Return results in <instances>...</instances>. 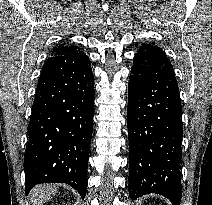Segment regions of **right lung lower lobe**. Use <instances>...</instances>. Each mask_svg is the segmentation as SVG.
Instances as JSON below:
<instances>
[{
	"instance_id": "obj_1",
	"label": "right lung lower lobe",
	"mask_w": 212,
	"mask_h": 205,
	"mask_svg": "<svg viewBox=\"0 0 212 205\" xmlns=\"http://www.w3.org/2000/svg\"><path fill=\"white\" fill-rule=\"evenodd\" d=\"M94 116V76L89 57H49L38 80L24 158L25 193L39 183H66L82 198Z\"/></svg>"
}]
</instances>
